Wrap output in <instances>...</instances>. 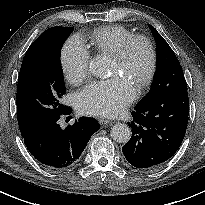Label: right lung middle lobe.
Instances as JSON below:
<instances>
[{"label": "right lung middle lobe", "instance_id": "1", "mask_svg": "<svg viewBox=\"0 0 205 205\" xmlns=\"http://www.w3.org/2000/svg\"><path fill=\"white\" fill-rule=\"evenodd\" d=\"M72 31L71 27L48 28L24 56L17 85V113L32 126L66 108L60 103L66 91L60 52Z\"/></svg>", "mask_w": 205, "mask_h": 205}]
</instances>
